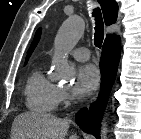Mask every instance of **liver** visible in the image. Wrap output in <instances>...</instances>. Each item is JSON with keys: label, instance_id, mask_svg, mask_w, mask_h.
Segmentation results:
<instances>
[{"label": "liver", "instance_id": "6515ba94", "mask_svg": "<svg viewBox=\"0 0 141 139\" xmlns=\"http://www.w3.org/2000/svg\"><path fill=\"white\" fill-rule=\"evenodd\" d=\"M69 120L50 114L26 112L13 121L11 139H65ZM69 139H77L72 135Z\"/></svg>", "mask_w": 141, "mask_h": 139}]
</instances>
